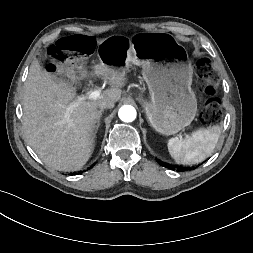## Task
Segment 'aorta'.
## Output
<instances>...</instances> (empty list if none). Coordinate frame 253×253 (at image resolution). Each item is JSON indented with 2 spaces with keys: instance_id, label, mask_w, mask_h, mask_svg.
<instances>
[{
  "instance_id": "762f6f07",
  "label": "aorta",
  "mask_w": 253,
  "mask_h": 253,
  "mask_svg": "<svg viewBox=\"0 0 253 253\" xmlns=\"http://www.w3.org/2000/svg\"><path fill=\"white\" fill-rule=\"evenodd\" d=\"M136 109L131 105H124L119 109L118 116L123 122H132L136 118Z\"/></svg>"
}]
</instances>
